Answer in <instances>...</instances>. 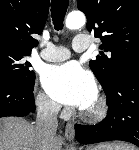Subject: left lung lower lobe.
<instances>
[{"label": "left lung lower lobe", "instance_id": "1", "mask_svg": "<svg viewBox=\"0 0 139 150\" xmlns=\"http://www.w3.org/2000/svg\"><path fill=\"white\" fill-rule=\"evenodd\" d=\"M106 97L107 117L98 125L76 124L77 141L92 144L122 140L139 147V61L131 63L120 73Z\"/></svg>", "mask_w": 139, "mask_h": 150}]
</instances>
